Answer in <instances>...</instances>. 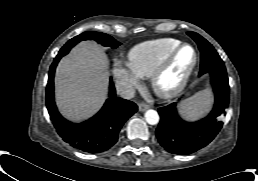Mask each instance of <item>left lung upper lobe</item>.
I'll use <instances>...</instances> for the list:
<instances>
[{"instance_id": "1", "label": "left lung upper lobe", "mask_w": 258, "mask_h": 181, "mask_svg": "<svg viewBox=\"0 0 258 181\" xmlns=\"http://www.w3.org/2000/svg\"><path fill=\"white\" fill-rule=\"evenodd\" d=\"M187 34L197 43L201 52L200 75L210 72L226 73L225 65L214 47L195 32Z\"/></svg>"}]
</instances>
